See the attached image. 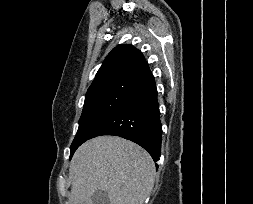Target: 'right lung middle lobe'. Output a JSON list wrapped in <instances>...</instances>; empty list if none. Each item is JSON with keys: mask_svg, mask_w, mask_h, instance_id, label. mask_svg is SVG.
<instances>
[{"mask_svg": "<svg viewBox=\"0 0 253 204\" xmlns=\"http://www.w3.org/2000/svg\"><path fill=\"white\" fill-rule=\"evenodd\" d=\"M137 84L133 81H120L87 91L79 128L70 147V158L82 143L91 138L95 130L135 89Z\"/></svg>", "mask_w": 253, "mask_h": 204, "instance_id": "1", "label": "right lung middle lobe"}]
</instances>
